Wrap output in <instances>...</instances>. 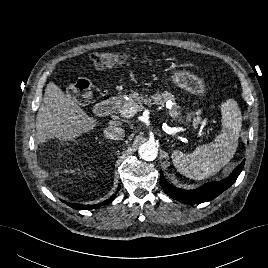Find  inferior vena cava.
Returning <instances> with one entry per match:
<instances>
[{"label":"inferior vena cava","mask_w":268,"mask_h":268,"mask_svg":"<svg viewBox=\"0 0 268 268\" xmlns=\"http://www.w3.org/2000/svg\"><path fill=\"white\" fill-rule=\"evenodd\" d=\"M125 131L118 124H111L104 129V135L108 139L121 140L124 138Z\"/></svg>","instance_id":"obj_1"}]
</instances>
